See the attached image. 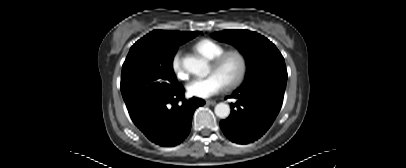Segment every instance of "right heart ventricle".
<instances>
[{
    "label": "right heart ventricle",
    "instance_id": "1",
    "mask_svg": "<svg viewBox=\"0 0 406 168\" xmlns=\"http://www.w3.org/2000/svg\"><path fill=\"white\" fill-rule=\"evenodd\" d=\"M194 48L208 60L214 59L225 51V47L223 45L210 39L200 40L195 44Z\"/></svg>",
    "mask_w": 406,
    "mask_h": 168
}]
</instances>
